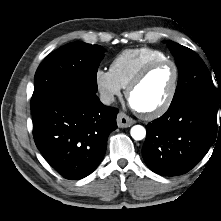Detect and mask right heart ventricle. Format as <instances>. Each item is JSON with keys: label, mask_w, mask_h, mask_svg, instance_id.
Masks as SVG:
<instances>
[{"label": "right heart ventricle", "mask_w": 221, "mask_h": 221, "mask_svg": "<svg viewBox=\"0 0 221 221\" xmlns=\"http://www.w3.org/2000/svg\"><path fill=\"white\" fill-rule=\"evenodd\" d=\"M166 58L163 52L149 47L126 49L112 60L110 72L119 85L126 88L145 65Z\"/></svg>", "instance_id": "right-heart-ventricle-1"}]
</instances>
